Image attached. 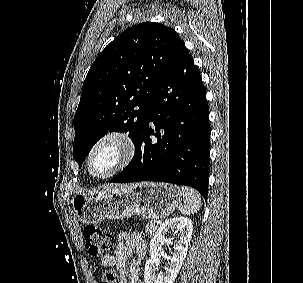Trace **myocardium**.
<instances>
[{"mask_svg": "<svg viewBox=\"0 0 303 283\" xmlns=\"http://www.w3.org/2000/svg\"><path fill=\"white\" fill-rule=\"evenodd\" d=\"M106 143H112L116 145L119 151V155L116 163L108 172L98 175L92 172L91 161L97 149ZM135 151V143L129 133L117 129L108 130L101 134L88 149L85 159L86 171L91 178L96 180H106L108 178H111L124 170L131 163L134 158Z\"/></svg>", "mask_w": 303, "mask_h": 283, "instance_id": "obj_1", "label": "myocardium"}]
</instances>
